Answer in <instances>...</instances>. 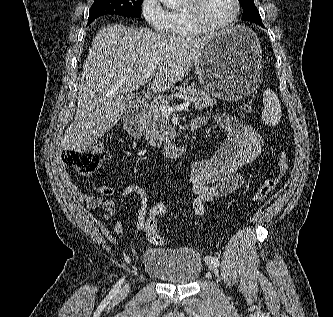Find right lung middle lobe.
Masks as SVG:
<instances>
[{"label": "right lung middle lobe", "instance_id": "1", "mask_svg": "<svg viewBox=\"0 0 333 317\" xmlns=\"http://www.w3.org/2000/svg\"><path fill=\"white\" fill-rule=\"evenodd\" d=\"M143 0H94L89 12L88 24L106 14L139 17Z\"/></svg>", "mask_w": 333, "mask_h": 317}]
</instances>
